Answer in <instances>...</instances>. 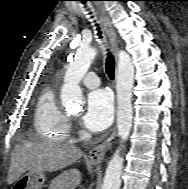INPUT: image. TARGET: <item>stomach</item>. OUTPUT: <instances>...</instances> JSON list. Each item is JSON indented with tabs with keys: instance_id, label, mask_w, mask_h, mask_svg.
I'll use <instances>...</instances> for the list:
<instances>
[{
	"instance_id": "0dacf381",
	"label": "stomach",
	"mask_w": 188,
	"mask_h": 189,
	"mask_svg": "<svg viewBox=\"0 0 188 189\" xmlns=\"http://www.w3.org/2000/svg\"><path fill=\"white\" fill-rule=\"evenodd\" d=\"M45 180L44 172L28 171L16 180L12 189H42Z\"/></svg>"
}]
</instances>
